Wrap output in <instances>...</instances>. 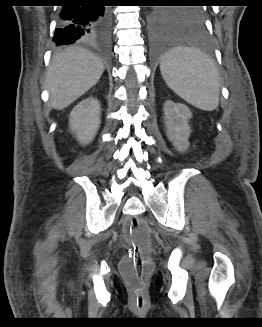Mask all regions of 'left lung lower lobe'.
Instances as JSON below:
<instances>
[{
  "label": "left lung lower lobe",
  "instance_id": "obj_1",
  "mask_svg": "<svg viewBox=\"0 0 262 327\" xmlns=\"http://www.w3.org/2000/svg\"><path fill=\"white\" fill-rule=\"evenodd\" d=\"M149 40L153 54H161L179 47L198 51L208 50L210 47V39L203 22H183L168 9L156 11L151 18Z\"/></svg>",
  "mask_w": 262,
  "mask_h": 327
}]
</instances>
